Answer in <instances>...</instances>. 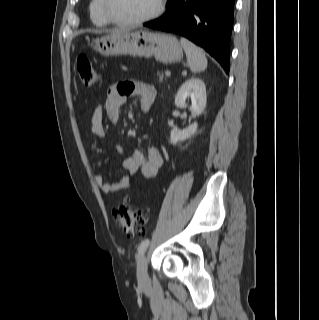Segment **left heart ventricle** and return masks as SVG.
<instances>
[{"label": "left heart ventricle", "mask_w": 319, "mask_h": 320, "mask_svg": "<svg viewBox=\"0 0 319 320\" xmlns=\"http://www.w3.org/2000/svg\"><path fill=\"white\" fill-rule=\"evenodd\" d=\"M158 0H109V10L117 19H135L151 14Z\"/></svg>", "instance_id": "1"}]
</instances>
